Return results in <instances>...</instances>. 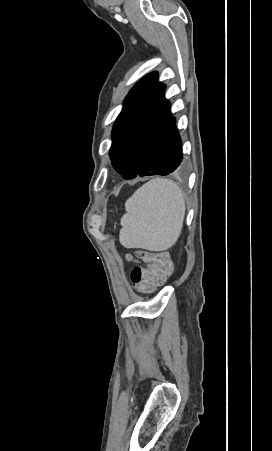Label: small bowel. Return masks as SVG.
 <instances>
[{
	"label": "small bowel",
	"mask_w": 272,
	"mask_h": 451,
	"mask_svg": "<svg viewBox=\"0 0 272 451\" xmlns=\"http://www.w3.org/2000/svg\"><path fill=\"white\" fill-rule=\"evenodd\" d=\"M127 259H128V260H132V257L128 255V256H127Z\"/></svg>",
	"instance_id": "obj_1"
}]
</instances>
